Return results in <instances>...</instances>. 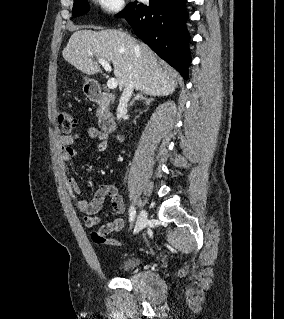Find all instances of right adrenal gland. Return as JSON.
Returning a JSON list of instances; mask_svg holds the SVG:
<instances>
[{"mask_svg": "<svg viewBox=\"0 0 284 319\" xmlns=\"http://www.w3.org/2000/svg\"><path fill=\"white\" fill-rule=\"evenodd\" d=\"M136 100H141L143 101L146 105H150L152 102H153V98L152 96H148L147 93L145 92H141V93H138L133 99L132 101L129 103V105H133V103L136 101Z\"/></svg>", "mask_w": 284, "mask_h": 319, "instance_id": "1", "label": "right adrenal gland"}]
</instances>
